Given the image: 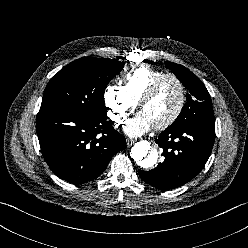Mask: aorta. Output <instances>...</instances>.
<instances>
[{
    "label": "aorta",
    "mask_w": 248,
    "mask_h": 248,
    "mask_svg": "<svg viewBox=\"0 0 248 248\" xmlns=\"http://www.w3.org/2000/svg\"><path fill=\"white\" fill-rule=\"evenodd\" d=\"M131 157L140 167L151 168L157 163L159 152L152 149L148 141L142 140L131 148Z\"/></svg>",
    "instance_id": "aorta-1"
}]
</instances>
